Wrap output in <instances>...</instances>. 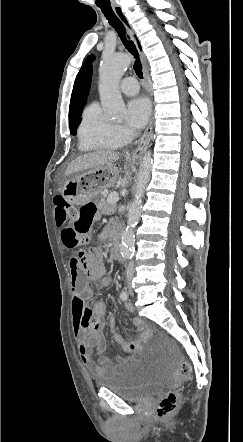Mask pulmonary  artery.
<instances>
[{
	"label": "pulmonary artery",
	"mask_w": 243,
	"mask_h": 442,
	"mask_svg": "<svg viewBox=\"0 0 243 442\" xmlns=\"http://www.w3.org/2000/svg\"><path fill=\"white\" fill-rule=\"evenodd\" d=\"M121 91L126 95H135L138 93V81L134 77H126L120 84Z\"/></svg>",
	"instance_id": "pulmonary-artery-1"
}]
</instances>
